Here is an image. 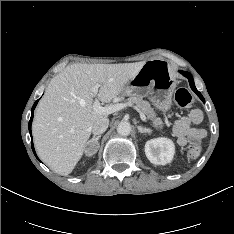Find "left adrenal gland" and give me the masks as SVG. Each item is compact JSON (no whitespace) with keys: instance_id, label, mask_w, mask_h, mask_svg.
Returning <instances> with one entry per match:
<instances>
[{"instance_id":"1","label":"left adrenal gland","mask_w":234,"mask_h":234,"mask_svg":"<svg viewBox=\"0 0 234 234\" xmlns=\"http://www.w3.org/2000/svg\"><path fill=\"white\" fill-rule=\"evenodd\" d=\"M137 128H138V131L140 133H149V134H151V132H152L151 129L143 127V126H138Z\"/></svg>"}]
</instances>
